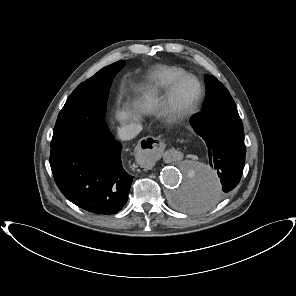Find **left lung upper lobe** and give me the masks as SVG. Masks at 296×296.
<instances>
[{
  "mask_svg": "<svg viewBox=\"0 0 296 296\" xmlns=\"http://www.w3.org/2000/svg\"><path fill=\"white\" fill-rule=\"evenodd\" d=\"M206 98L207 99L219 96V95H225L229 94V91L226 89V87L220 83L217 78L214 76H208L206 79Z\"/></svg>",
  "mask_w": 296,
  "mask_h": 296,
  "instance_id": "5c2ea615",
  "label": "left lung upper lobe"
}]
</instances>
